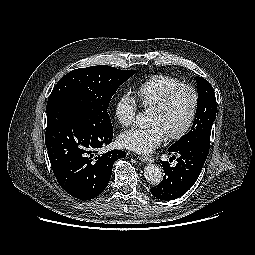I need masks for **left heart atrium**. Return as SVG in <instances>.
Listing matches in <instances>:
<instances>
[{"instance_id":"1","label":"left heart atrium","mask_w":255,"mask_h":255,"mask_svg":"<svg viewBox=\"0 0 255 255\" xmlns=\"http://www.w3.org/2000/svg\"><path fill=\"white\" fill-rule=\"evenodd\" d=\"M165 137V132L158 124L148 128H132L122 132L118 138L119 144L136 153H149L159 145Z\"/></svg>"}]
</instances>
